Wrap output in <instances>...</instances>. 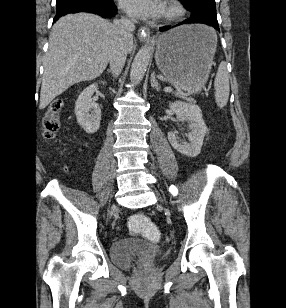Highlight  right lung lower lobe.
<instances>
[{
    "instance_id": "1",
    "label": "right lung lower lobe",
    "mask_w": 286,
    "mask_h": 308,
    "mask_svg": "<svg viewBox=\"0 0 286 308\" xmlns=\"http://www.w3.org/2000/svg\"><path fill=\"white\" fill-rule=\"evenodd\" d=\"M77 12H89L105 18L113 17L117 13V7L112 0H73L57 5L55 22L62 15Z\"/></svg>"
}]
</instances>
